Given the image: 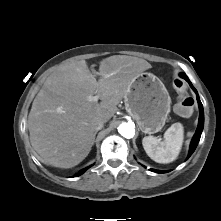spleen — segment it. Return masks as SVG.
Returning <instances> with one entry per match:
<instances>
[{
    "label": "spleen",
    "instance_id": "spleen-1",
    "mask_svg": "<svg viewBox=\"0 0 221 221\" xmlns=\"http://www.w3.org/2000/svg\"><path fill=\"white\" fill-rule=\"evenodd\" d=\"M184 130L181 123L172 124L164 133V140L146 136L142 145L147 155L157 163H170L177 159L183 144Z\"/></svg>",
    "mask_w": 221,
    "mask_h": 221
}]
</instances>
